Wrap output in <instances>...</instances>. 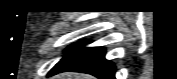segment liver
Here are the masks:
<instances>
[{
  "mask_svg": "<svg viewBox=\"0 0 177 79\" xmlns=\"http://www.w3.org/2000/svg\"><path fill=\"white\" fill-rule=\"evenodd\" d=\"M55 79H92L91 76L80 73L66 72L56 76Z\"/></svg>",
  "mask_w": 177,
  "mask_h": 79,
  "instance_id": "1",
  "label": "liver"
}]
</instances>
